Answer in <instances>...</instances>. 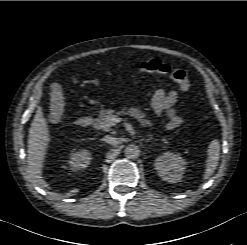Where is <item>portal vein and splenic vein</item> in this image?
I'll list each match as a JSON object with an SVG mask.
<instances>
[{"instance_id": "1", "label": "portal vein and splenic vein", "mask_w": 247, "mask_h": 245, "mask_svg": "<svg viewBox=\"0 0 247 245\" xmlns=\"http://www.w3.org/2000/svg\"><path fill=\"white\" fill-rule=\"evenodd\" d=\"M108 121H109V123H108L109 126H114V125H116L117 123L121 122L122 119L119 118V117L116 116V115H113V116H111V117L108 119Z\"/></svg>"}]
</instances>
